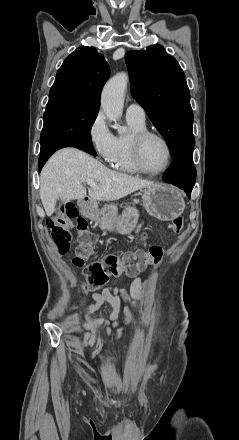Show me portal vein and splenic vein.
<instances>
[{
  "label": "portal vein and splenic vein",
  "mask_w": 239,
  "mask_h": 440,
  "mask_svg": "<svg viewBox=\"0 0 239 440\" xmlns=\"http://www.w3.org/2000/svg\"><path fill=\"white\" fill-rule=\"evenodd\" d=\"M87 186H91V188H96L97 184H95L94 180H87Z\"/></svg>",
  "instance_id": "1"
}]
</instances>
